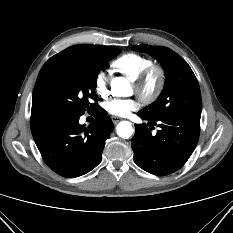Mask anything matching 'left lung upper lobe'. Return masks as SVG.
I'll use <instances>...</instances> for the list:
<instances>
[{
	"label": "left lung upper lobe",
	"mask_w": 233,
	"mask_h": 233,
	"mask_svg": "<svg viewBox=\"0 0 233 233\" xmlns=\"http://www.w3.org/2000/svg\"><path fill=\"white\" fill-rule=\"evenodd\" d=\"M132 49L148 52L163 66L166 81L158 100L140 111L152 120L175 114L201 115L198 81L187 62L177 53L162 46L137 45Z\"/></svg>",
	"instance_id": "5c2ea615"
}]
</instances>
